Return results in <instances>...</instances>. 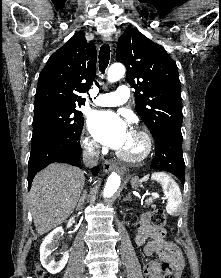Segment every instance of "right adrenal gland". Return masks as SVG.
<instances>
[{
  "label": "right adrenal gland",
  "mask_w": 221,
  "mask_h": 278,
  "mask_svg": "<svg viewBox=\"0 0 221 278\" xmlns=\"http://www.w3.org/2000/svg\"><path fill=\"white\" fill-rule=\"evenodd\" d=\"M86 195H87V192H86V190H84L83 191V194H82V197L79 199V201H78V204H77V206H76V209H80V207H82L83 206V204H84V202H85V200H86Z\"/></svg>",
  "instance_id": "2a0ac1e0"
}]
</instances>
